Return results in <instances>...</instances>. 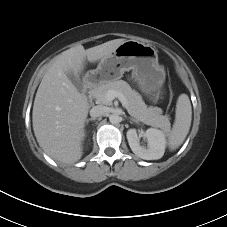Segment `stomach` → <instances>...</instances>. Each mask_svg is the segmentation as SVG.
<instances>
[{
	"instance_id": "1",
	"label": "stomach",
	"mask_w": 227,
	"mask_h": 227,
	"mask_svg": "<svg viewBox=\"0 0 227 227\" xmlns=\"http://www.w3.org/2000/svg\"><path fill=\"white\" fill-rule=\"evenodd\" d=\"M132 70L133 78L140 87L159 95L166 78V72L158 62L157 50L137 40H127L116 47L97 68L87 72L92 81L103 84L120 79L125 71Z\"/></svg>"
}]
</instances>
